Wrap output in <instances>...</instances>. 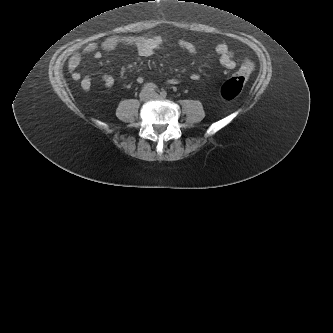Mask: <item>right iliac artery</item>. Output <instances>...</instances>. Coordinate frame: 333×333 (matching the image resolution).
<instances>
[{
  "mask_svg": "<svg viewBox=\"0 0 333 333\" xmlns=\"http://www.w3.org/2000/svg\"><path fill=\"white\" fill-rule=\"evenodd\" d=\"M156 85L153 83H148L142 87L143 90H148V91H155L156 90Z\"/></svg>",
  "mask_w": 333,
  "mask_h": 333,
  "instance_id": "obj_1",
  "label": "right iliac artery"
}]
</instances>
